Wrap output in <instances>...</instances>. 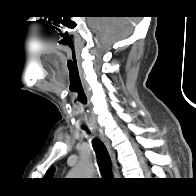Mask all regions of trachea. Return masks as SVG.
I'll return each mask as SVG.
<instances>
[{"mask_svg":"<svg viewBox=\"0 0 196 196\" xmlns=\"http://www.w3.org/2000/svg\"><path fill=\"white\" fill-rule=\"evenodd\" d=\"M85 130L89 133V131L85 128ZM93 148L96 153L97 163L99 166V170L101 175L105 179H113V173L111 168V159L109 153L104 145V143L99 139H94L92 141Z\"/></svg>","mask_w":196,"mask_h":196,"instance_id":"obj_1","label":"trachea"}]
</instances>
